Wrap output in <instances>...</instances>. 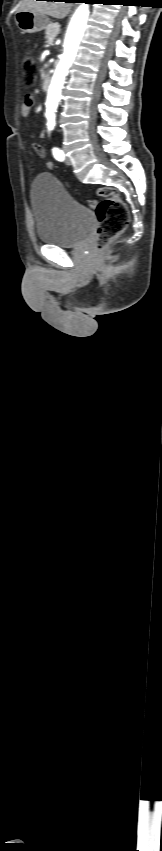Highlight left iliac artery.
Here are the masks:
<instances>
[{"instance_id":"1","label":"left iliac artery","mask_w":162,"mask_h":851,"mask_svg":"<svg viewBox=\"0 0 162 851\" xmlns=\"http://www.w3.org/2000/svg\"><path fill=\"white\" fill-rule=\"evenodd\" d=\"M53 128H54V125H53V124H48V130H49V131H51ZM52 152H53V155H54V157H55V159H56V160H58V161H63V160H64V153H63V151H62V150H60L59 148H56V147H55V148H53V149H52Z\"/></svg>"}]
</instances>
